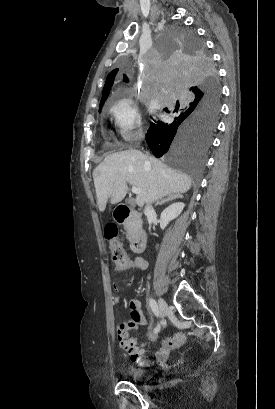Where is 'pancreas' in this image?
<instances>
[{
	"label": "pancreas",
	"instance_id": "obj_1",
	"mask_svg": "<svg viewBox=\"0 0 275 409\" xmlns=\"http://www.w3.org/2000/svg\"><path fill=\"white\" fill-rule=\"evenodd\" d=\"M141 227L142 221H138V219H134V217H129L124 223V229L127 231V239H132V235H135L137 229H141Z\"/></svg>",
	"mask_w": 275,
	"mask_h": 409
}]
</instances>
